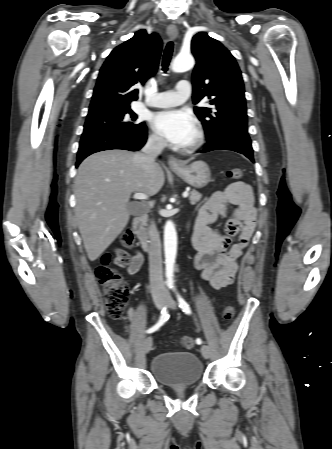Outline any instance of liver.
Listing matches in <instances>:
<instances>
[{
  "label": "liver",
  "instance_id": "6515ba94",
  "mask_svg": "<svg viewBox=\"0 0 332 449\" xmlns=\"http://www.w3.org/2000/svg\"><path fill=\"white\" fill-rule=\"evenodd\" d=\"M136 154L110 150L87 157L75 179V215L88 258L96 260L126 227L132 193L154 195L164 185L159 164L144 170Z\"/></svg>",
  "mask_w": 332,
  "mask_h": 449
}]
</instances>
